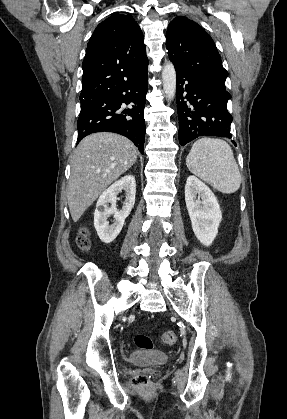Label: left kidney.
<instances>
[{"instance_id":"1","label":"left kidney","mask_w":287,"mask_h":419,"mask_svg":"<svg viewBox=\"0 0 287 419\" xmlns=\"http://www.w3.org/2000/svg\"><path fill=\"white\" fill-rule=\"evenodd\" d=\"M185 202L195 236L203 245L210 246L222 220L215 195L197 177L189 176L185 185Z\"/></svg>"}]
</instances>
